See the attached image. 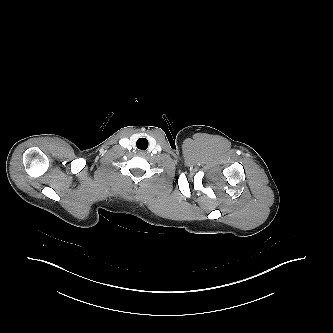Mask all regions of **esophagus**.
I'll use <instances>...</instances> for the list:
<instances>
[{
    "mask_svg": "<svg viewBox=\"0 0 333 333\" xmlns=\"http://www.w3.org/2000/svg\"><path fill=\"white\" fill-rule=\"evenodd\" d=\"M138 155H140V156H145V155H146V152H145V151H142V150H139V151H138Z\"/></svg>",
    "mask_w": 333,
    "mask_h": 333,
    "instance_id": "34e87169",
    "label": "esophagus"
}]
</instances>
